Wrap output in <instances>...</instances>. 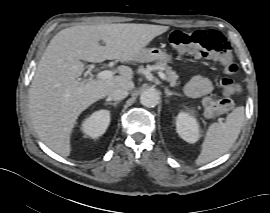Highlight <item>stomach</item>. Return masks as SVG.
Wrapping results in <instances>:
<instances>
[{
	"instance_id": "0dacf381",
	"label": "stomach",
	"mask_w": 270,
	"mask_h": 213,
	"mask_svg": "<svg viewBox=\"0 0 270 213\" xmlns=\"http://www.w3.org/2000/svg\"><path fill=\"white\" fill-rule=\"evenodd\" d=\"M172 54H168L165 51L159 48H143L136 61L138 62H152V61H160V62H169L172 60Z\"/></svg>"
}]
</instances>
